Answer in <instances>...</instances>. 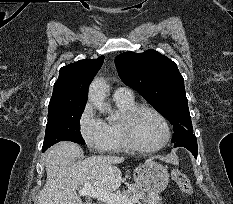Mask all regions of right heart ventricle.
<instances>
[{
  "instance_id": "1",
  "label": "right heart ventricle",
  "mask_w": 233,
  "mask_h": 204,
  "mask_svg": "<svg viewBox=\"0 0 233 204\" xmlns=\"http://www.w3.org/2000/svg\"><path fill=\"white\" fill-rule=\"evenodd\" d=\"M114 103L120 113V118L118 120H108L105 122L106 128L110 139V149L112 151H124L127 150L123 135L120 127V119L124 113L136 106L134 98L130 99H117L114 98Z\"/></svg>"
}]
</instances>
